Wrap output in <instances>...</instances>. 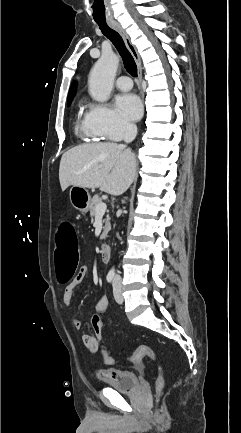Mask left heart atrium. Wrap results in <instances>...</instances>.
<instances>
[{
	"instance_id": "left-heart-atrium-1",
	"label": "left heart atrium",
	"mask_w": 241,
	"mask_h": 433,
	"mask_svg": "<svg viewBox=\"0 0 241 433\" xmlns=\"http://www.w3.org/2000/svg\"><path fill=\"white\" fill-rule=\"evenodd\" d=\"M115 106L117 112L125 119L137 120L142 113V104L140 99L131 93L121 94L116 98Z\"/></svg>"
}]
</instances>
